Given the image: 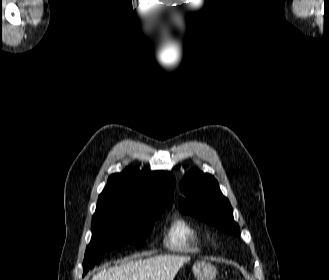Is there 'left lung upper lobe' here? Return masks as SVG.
<instances>
[{"label":"left lung upper lobe","mask_w":329,"mask_h":280,"mask_svg":"<svg viewBox=\"0 0 329 280\" xmlns=\"http://www.w3.org/2000/svg\"><path fill=\"white\" fill-rule=\"evenodd\" d=\"M181 191L183 198L179 201L180 211L226 233L240 236L229 200L223 196L212 175L197 169L189 171L181 183Z\"/></svg>","instance_id":"left-lung-upper-lobe-1"}]
</instances>
